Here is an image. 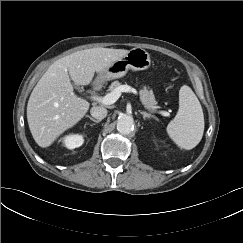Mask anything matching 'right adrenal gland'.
<instances>
[{
    "mask_svg": "<svg viewBox=\"0 0 243 243\" xmlns=\"http://www.w3.org/2000/svg\"><path fill=\"white\" fill-rule=\"evenodd\" d=\"M86 117H88L90 120H92V121L95 122V123H99V122H100V120H96V119L92 118V117L89 116V115H86Z\"/></svg>",
    "mask_w": 243,
    "mask_h": 243,
    "instance_id": "right-adrenal-gland-1",
    "label": "right adrenal gland"
}]
</instances>
